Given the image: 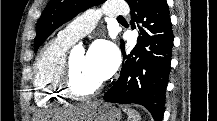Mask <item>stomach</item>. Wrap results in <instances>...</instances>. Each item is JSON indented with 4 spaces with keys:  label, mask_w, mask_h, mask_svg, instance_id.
<instances>
[{
    "label": "stomach",
    "mask_w": 217,
    "mask_h": 121,
    "mask_svg": "<svg viewBox=\"0 0 217 121\" xmlns=\"http://www.w3.org/2000/svg\"><path fill=\"white\" fill-rule=\"evenodd\" d=\"M121 112L110 104H97L90 113L88 121H120Z\"/></svg>",
    "instance_id": "0dacf381"
}]
</instances>
